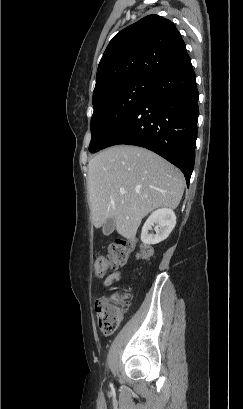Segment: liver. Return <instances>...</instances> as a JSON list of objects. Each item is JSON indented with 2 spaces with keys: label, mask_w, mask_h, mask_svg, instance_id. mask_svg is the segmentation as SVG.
Wrapping results in <instances>:
<instances>
[{
  "label": "liver",
  "mask_w": 243,
  "mask_h": 409,
  "mask_svg": "<svg viewBox=\"0 0 243 409\" xmlns=\"http://www.w3.org/2000/svg\"><path fill=\"white\" fill-rule=\"evenodd\" d=\"M184 186L182 172L152 151L132 145L107 148L88 164L91 221L100 228L114 218L118 234L132 239L149 212L179 205Z\"/></svg>",
  "instance_id": "liver-1"
}]
</instances>
